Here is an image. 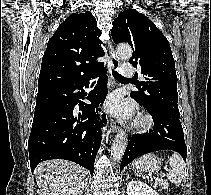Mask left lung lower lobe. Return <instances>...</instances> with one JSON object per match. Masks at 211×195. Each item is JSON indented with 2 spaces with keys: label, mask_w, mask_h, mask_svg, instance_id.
<instances>
[{
  "label": "left lung lower lobe",
  "mask_w": 211,
  "mask_h": 195,
  "mask_svg": "<svg viewBox=\"0 0 211 195\" xmlns=\"http://www.w3.org/2000/svg\"><path fill=\"white\" fill-rule=\"evenodd\" d=\"M154 120V128L149 133L134 134L123 155L120 171L136 157L159 150H174L184 160L187 156V147L179 117L169 113L147 109Z\"/></svg>",
  "instance_id": "left-lung-lower-lobe-1"
}]
</instances>
